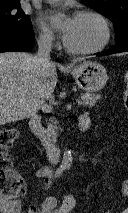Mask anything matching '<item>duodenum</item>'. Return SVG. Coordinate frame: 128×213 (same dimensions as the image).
<instances>
[{"label": "duodenum", "instance_id": "410a0bca", "mask_svg": "<svg viewBox=\"0 0 128 213\" xmlns=\"http://www.w3.org/2000/svg\"><path fill=\"white\" fill-rule=\"evenodd\" d=\"M29 125L31 131L41 141L50 161L57 162L59 160L61 150L56 146L54 137L43 127L41 117L39 115L32 116ZM89 126V117L87 115H81L78 121L79 132L84 134L89 129Z\"/></svg>", "mask_w": 128, "mask_h": 213}]
</instances>
